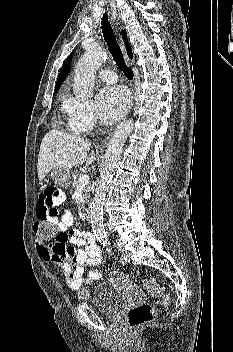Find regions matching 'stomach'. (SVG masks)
<instances>
[{
    "instance_id": "obj_1",
    "label": "stomach",
    "mask_w": 233,
    "mask_h": 352,
    "mask_svg": "<svg viewBox=\"0 0 233 352\" xmlns=\"http://www.w3.org/2000/svg\"><path fill=\"white\" fill-rule=\"evenodd\" d=\"M51 177L53 178L55 184L61 188H68L70 181H71V177H70V172L68 169H57L54 168L51 171Z\"/></svg>"
}]
</instances>
